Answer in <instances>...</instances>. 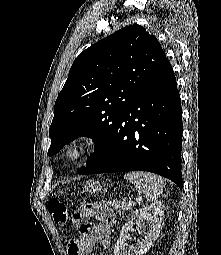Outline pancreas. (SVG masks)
Wrapping results in <instances>:
<instances>
[{
    "mask_svg": "<svg viewBox=\"0 0 221 255\" xmlns=\"http://www.w3.org/2000/svg\"><path fill=\"white\" fill-rule=\"evenodd\" d=\"M110 206L116 210L118 213H123L125 211H128L130 209H132V207L134 206V204L124 200L122 202L118 201V200H111L110 201Z\"/></svg>",
    "mask_w": 221,
    "mask_h": 255,
    "instance_id": "1",
    "label": "pancreas"
}]
</instances>
